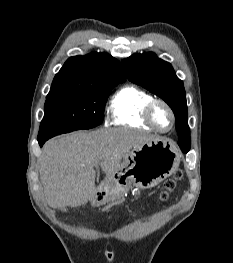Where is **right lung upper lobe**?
Masks as SVG:
<instances>
[{"mask_svg":"<svg viewBox=\"0 0 233 263\" xmlns=\"http://www.w3.org/2000/svg\"><path fill=\"white\" fill-rule=\"evenodd\" d=\"M120 63L107 53L92 52L85 56L70 57L55 75L47 96L96 92L124 82Z\"/></svg>","mask_w":233,"mask_h":263,"instance_id":"right-lung-upper-lobe-1","label":"right lung upper lobe"}]
</instances>
